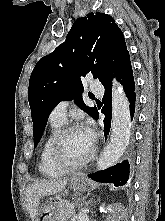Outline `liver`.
Segmentation results:
<instances>
[{
    "instance_id": "6515ba94",
    "label": "liver",
    "mask_w": 165,
    "mask_h": 221,
    "mask_svg": "<svg viewBox=\"0 0 165 221\" xmlns=\"http://www.w3.org/2000/svg\"><path fill=\"white\" fill-rule=\"evenodd\" d=\"M68 179L62 180H41L30 184L26 190V203L27 209L29 211L30 218L34 221L38 206L40 203V198L42 196L56 194L62 191L67 185Z\"/></svg>"
}]
</instances>
